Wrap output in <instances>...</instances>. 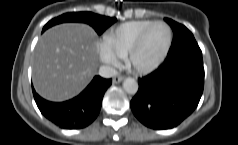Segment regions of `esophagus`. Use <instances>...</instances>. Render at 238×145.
<instances>
[{"label": "esophagus", "instance_id": "34e87169", "mask_svg": "<svg viewBox=\"0 0 238 145\" xmlns=\"http://www.w3.org/2000/svg\"><path fill=\"white\" fill-rule=\"evenodd\" d=\"M124 80V77L123 76H115L114 78H113V83L114 84H118V83H120L121 81H123Z\"/></svg>", "mask_w": 238, "mask_h": 145}]
</instances>
